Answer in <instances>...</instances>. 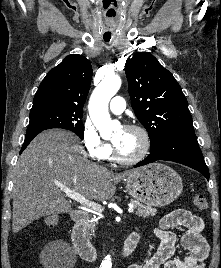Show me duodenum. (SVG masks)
Here are the masks:
<instances>
[{
    "label": "duodenum",
    "mask_w": 221,
    "mask_h": 268,
    "mask_svg": "<svg viewBox=\"0 0 221 268\" xmlns=\"http://www.w3.org/2000/svg\"><path fill=\"white\" fill-rule=\"evenodd\" d=\"M74 226L72 229V241L75 249L82 259L87 261H95L98 255L97 249L86 236V225L88 214L83 211H78L73 214ZM139 240L137 232L130 233L124 240L120 250L119 257L126 258L135 249Z\"/></svg>",
    "instance_id": "obj_1"
}]
</instances>
